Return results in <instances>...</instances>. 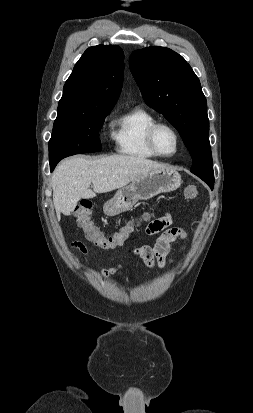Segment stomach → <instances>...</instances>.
Instances as JSON below:
<instances>
[{"label": "stomach", "instance_id": "0dacf381", "mask_svg": "<svg viewBox=\"0 0 253 413\" xmlns=\"http://www.w3.org/2000/svg\"><path fill=\"white\" fill-rule=\"evenodd\" d=\"M181 183L180 174L171 168L140 175L128 186L119 189L114 197L104 204V213L115 216L130 210L138 200H148L160 193L174 191Z\"/></svg>", "mask_w": 253, "mask_h": 413}]
</instances>
